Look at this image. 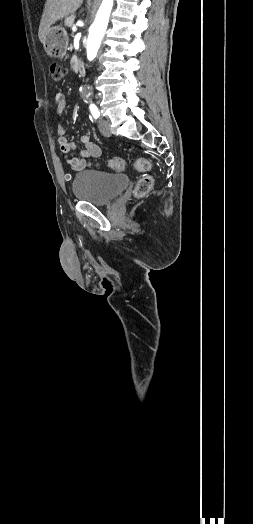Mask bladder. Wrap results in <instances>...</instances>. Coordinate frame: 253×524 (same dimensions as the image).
<instances>
[{
    "label": "bladder",
    "instance_id": "31cf9c89",
    "mask_svg": "<svg viewBox=\"0 0 253 524\" xmlns=\"http://www.w3.org/2000/svg\"><path fill=\"white\" fill-rule=\"evenodd\" d=\"M129 182V177L124 174L84 170L75 174L72 190L79 201L107 205L120 195Z\"/></svg>",
    "mask_w": 253,
    "mask_h": 524
}]
</instances>
